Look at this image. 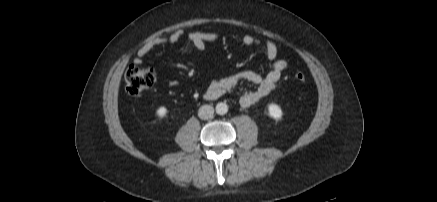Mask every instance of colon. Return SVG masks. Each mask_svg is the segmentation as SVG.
<instances>
[{"label":"colon","mask_w":437,"mask_h":202,"mask_svg":"<svg viewBox=\"0 0 437 202\" xmlns=\"http://www.w3.org/2000/svg\"><path fill=\"white\" fill-rule=\"evenodd\" d=\"M294 78L298 82H304L306 76L302 72H296ZM155 81V72L151 68L130 65L125 72V89L131 96H137L152 87Z\"/></svg>","instance_id":"colon-1"}]
</instances>
